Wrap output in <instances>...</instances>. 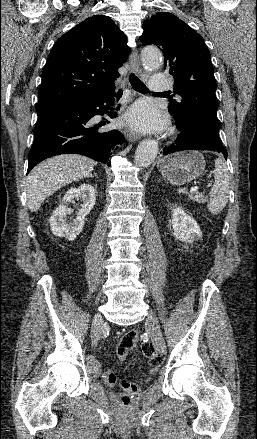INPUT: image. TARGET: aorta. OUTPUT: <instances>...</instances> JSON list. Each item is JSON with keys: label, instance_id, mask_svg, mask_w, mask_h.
I'll return each instance as SVG.
<instances>
[{"label": "aorta", "instance_id": "1", "mask_svg": "<svg viewBox=\"0 0 257 439\" xmlns=\"http://www.w3.org/2000/svg\"><path fill=\"white\" fill-rule=\"evenodd\" d=\"M142 62L145 70L153 71L161 65L162 54L156 47H145L141 52ZM158 154L156 141L146 139L142 141L135 152V163L141 167L150 166Z\"/></svg>", "mask_w": 257, "mask_h": 439}]
</instances>
